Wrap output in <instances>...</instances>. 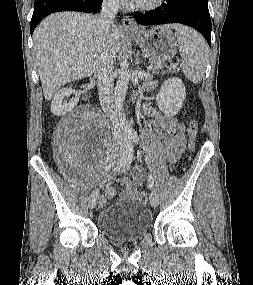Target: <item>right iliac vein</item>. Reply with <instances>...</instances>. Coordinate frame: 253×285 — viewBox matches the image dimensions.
Listing matches in <instances>:
<instances>
[{"instance_id": "right-iliac-vein-1", "label": "right iliac vein", "mask_w": 253, "mask_h": 285, "mask_svg": "<svg viewBox=\"0 0 253 285\" xmlns=\"http://www.w3.org/2000/svg\"><path fill=\"white\" fill-rule=\"evenodd\" d=\"M125 154H126V150L122 149L120 151L121 158H123ZM98 199H99V189H96L90 194L89 199H88V204L91 209L96 207Z\"/></svg>"}]
</instances>
